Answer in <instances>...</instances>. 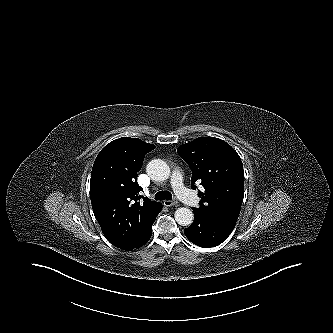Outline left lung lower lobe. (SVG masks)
Masks as SVG:
<instances>
[{
  "label": "left lung lower lobe",
  "mask_w": 333,
  "mask_h": 333,
  "mask_svg": "<svg viewBox=\"0 0 333 333\" xmlns=\"http://www.w3.org/2000/svg\"><path fill=\"white\" fill-rule=\"evenodd\" d=\"M195 219L186 229V237L200 247H214L221 244L233 231L234 226L212 215L192 208Z\"/></svg>",
  "instance_id": "1"
}]
</instances>
